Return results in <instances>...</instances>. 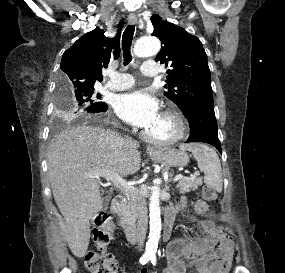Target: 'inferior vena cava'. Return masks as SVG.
<instances>
[{"instance_id":"inferior-vena-cava-1","label":"inferior vena cava","mask_w":285,"mask_h":273,"mask_svg":"<svg viewBox=\"0 0 285 273\" xmlns=\"http://www.w3.org/2000/svg\"><path fill=\"white\" fill-rule=\"evenodd\" d=\"M110 143L112 146L119 147L123 143L121 136L115 132L109 131ZM136 212L138 216L137 221V240L138 245L141 247L144 244L146 238V231L148 226L147 208L145 200L142 196H137L135 201Z\"/></svg>"}]
</instances>
